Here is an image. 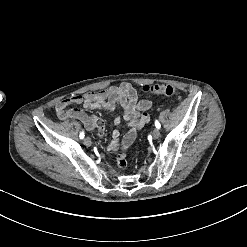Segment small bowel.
Masks as SVG:
<instances>
[{"instance_id": "small-bowel-1", "label": "small bowel", "mask_w": 247, "mask_h": 247, "mask_svg": "<svg viewBox=\"0 0 247 247\" xmlns=\"http://www.w3.org/2000/svg\"><path fill=\"white\" fill-rule=\"evenodd\" d=\"M73 104H82L86 108L98 107L109 113L115 112L118 107L122 109V116L116 117L113 123L115 126H119L122 122H125L128 130L121 138L120 131L116 128L112 132L107 149L109 151L119 149L115 160L121 166L127 165L129 162L124 158V151L133 144L137 132L149 123L150 117L147 111L152 107L151 101L139 99L134 86L128 82H123L103 90L71 96L55 105V111L60 120H79L89 130L98 128L99 134L103 131L104 136L105 129L102 122L89 116L81 109H69V106ZM99 137L101 136L99 135Z\"/></svg>"}]
</instances>
